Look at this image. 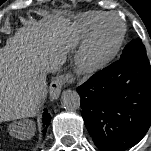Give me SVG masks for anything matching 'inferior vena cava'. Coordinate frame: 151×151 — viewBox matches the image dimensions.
Listing matches in <instances>:
<instances>
[{"instance_id": "602c4592", "label": "inferior vena cava", "mask_w": 151, "mask_h": 151, "mask_svg": "<svg viewBox=\"0 0 151 151\" xmlns=\"http://www.w3.org/2000/svg\"><path fill=\"white\" fill-rule=\"evenodd\" d=\"M60 63L58 61L49 62L46 65V69L48 72H54L59 69Z\"/></svg>"}]
</instances>
